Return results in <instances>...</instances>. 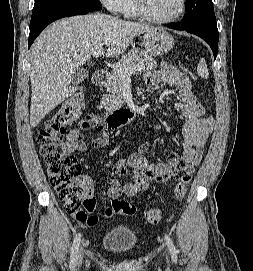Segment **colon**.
Listing matches in <instances>:
<instances>
[{
    "mask_svg": "<svg viewBox=\"0 0 253 271\" xmlns=\"http://www.w3.org/2000/svg\"><path fill=\"white\" fill-rule=\"evenodd\" d=\"M183 70L190 73L185 66ZM83 104V94L78 93L52 115L37 135V144L43 157L51 185L63 201L66 211L79 223L91 226L95 223L92 212L95 208L91 186L80 179L81 165L78 159L61 149L67 127L77 118ZM94 118V117H93ZM96 119V118H94ZM192 175H182L174 188V198L184 199ZM114 214L132 215L136 208L133 204L119 198L111 202ZM162 217L159 208L149 209L144 214L147 223L157 224Z\"/></svg>",
    "mask_w": 253,
    "mask_h": 271,
    "instance_id": "5ec220e1",
    "label": "colon"
}]
</instances>
